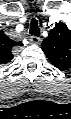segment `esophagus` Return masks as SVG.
I'll return each mask as SVG.
<instances>
[{"label": "esophagus", "instance_id": "esophagus-1", "mask_svg": "<svg viewBox=\"0 0 71 119\" xmlns=\"http://www.w3.org/2000/svg\"><path fill=\"white\" fill-rule=\"evenodd\" d=\"M30 41L34 44H40L42 42V38L36 37V36H31Z\"/></svg>", "mask_w": 71, "mask_h": 119}]
</instances>
